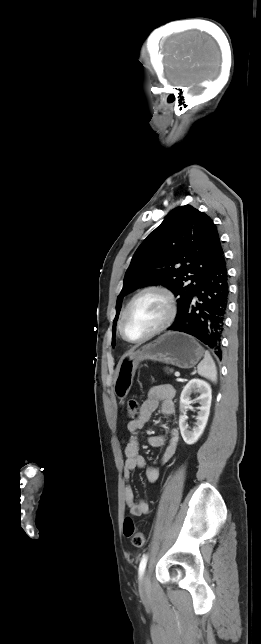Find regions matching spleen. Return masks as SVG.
Masks as SVG:
<instances>
[{"label": "spleen", "mask_w": 261, "mask_h": 644, "mask_svg": "<svg viewBox=\"0 0 261 644\" xmlns=\"http://www.w3.org/2000/svg\"><path fill=\"white\" fill-rule=\"evenodd\" d=\"M197 371L200 376L212 382L217 381L216 365L208 351H205L204 359L198 364Z\"/></svg>", "instance_id": "1"}]
</instances>
